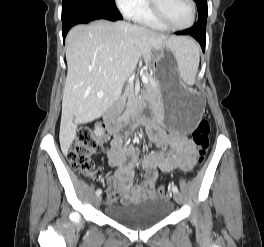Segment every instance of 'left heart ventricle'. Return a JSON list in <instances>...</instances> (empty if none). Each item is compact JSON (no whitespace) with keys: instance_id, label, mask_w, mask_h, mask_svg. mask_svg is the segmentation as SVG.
<instances>
[{"instance_id":"b2bd125f","label":"left heart ventricle","mask_w":264,"mask_h":247,"mask_svg":"<svg viewBox=\"0 0 264 247\" xmlns=\"http://www.w3.org/2000/svg\"><path fill=\"white\" fill-rule=\"evenodd\" d=\"M160 9L168 22L184 25L191 18V7L188 0H159Z\"/></svg>"}]
</instances>
